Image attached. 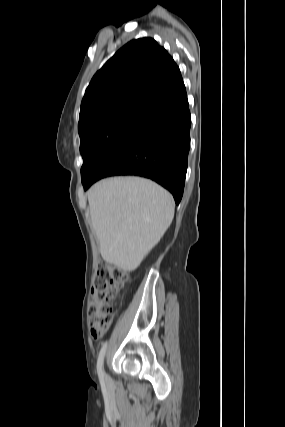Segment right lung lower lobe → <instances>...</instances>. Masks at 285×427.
I'll return each instance as SVG.
<instances>
[{"instance_id":"98d812e1","label":"right lung lower lobe","mask_w":285,"mask_h":427,"mask_svg":"<svg viewBox=\"0 0 285 427\" xmlns=\"http://www.w3.org/2000/svg\"><path fill=\"white\" fill-rule=\"evenodd\" d=\"M190 126L186 89L180 79L147 103L93 176L83 182L84 189L103 177L137 175L168 189L179 204L187 171Z\"/></svg>"}]
</instances>
